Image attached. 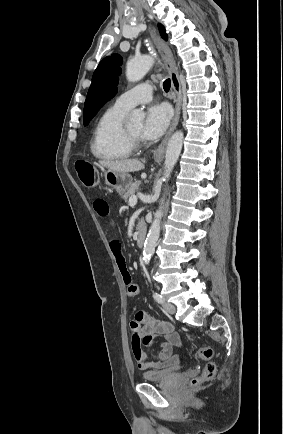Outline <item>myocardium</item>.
Segmentation results:
<instances>
[{"label":"myocardium","mask_w":283,"mask_h":434,"mask_svg":"<svg viewBox=\"0 0 283 434\" xmlns=\"http://www.w3.org/2000/svg\"><path fill=\"white\" fill-rule=\"evenodd\" d=\"M126 138L133 148H137L141 144V139L139 136L134 135L127 126L124 127Z\"/></svg>","instance_id":"f54148a6"}]
</instances>
